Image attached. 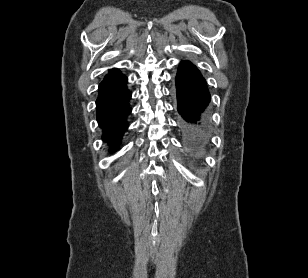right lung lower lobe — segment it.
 Wrapping results in <instances>:
<instances>
[{
    "label": "right lung lower lobe",
    "instance_id": "1",
    "mask_svg": "<svg viewBox=\"0 0 308 278\" xmlns=\"http://www.w3.org/2000/svg\"><path fill=\"white\" fill-rule=\"evenodd\" d=\"M127 78L102 82L96 100L97 121L103 130L102 139L110 145L111 152L117 149L128 127L127 116L131 113Z\"/></svg>",
    "mask_w": 308,
    "mask_h": 278
}]
</instances>
